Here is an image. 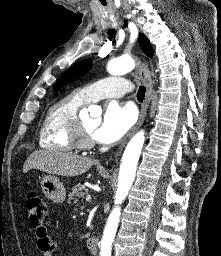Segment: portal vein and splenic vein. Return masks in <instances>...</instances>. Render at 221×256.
<instances>
[{"mask_svg":"<svg viewBox=\"0 0 221 256\" xmlns=\"http://www.w3.org/2000/svg\"><path fill=\"white\" fill-rule=\"evenodd\" d=\"M86 201H87V202L91 201V196H90V195H87V196H86Z\"/></svg>","mask_w":221,"mask_h":256,"instance_id":"18ae733b","label":"portal vein and splenic vein"}]
</instances>
